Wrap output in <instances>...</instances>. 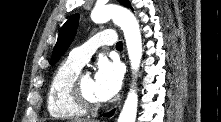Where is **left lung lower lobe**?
<instances>
[{
  "mask_svg": "<svg viewBox=\"0 0 221 122\" xmlns=\"http://www.w3.org/2000/svg\"><path fill=\"white\" fill-rule=\"evenodd\" d=\"M114 114V110L110 111L109 113L105 114V117H110Z\"/></svg>",
  "mask_w": 221,
  "mask_h": 122,
  "instance_id": "obj_1",
  "label": "left lung lower lobe"
}]
</instances>
